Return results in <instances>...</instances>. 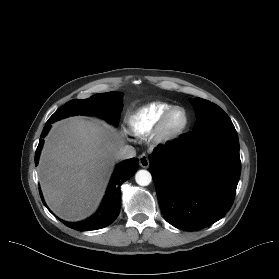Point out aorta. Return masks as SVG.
Instances as JSON below:
<instances>
[{
	"label": "aorta",
	"mask_w": 279,
	"mask_h": 279,
	"mask_svg": "<svg viewBox=\"0 0 279 279\" xmlns=\"http://www.w3.org/2000/svg\"><path fill=\"white\" fill-rule=\"evenodd\" d=\"M135 181L140 186H147L152 181V176L147 170H139L135 174Z\"/></svg>",
	"instance_id": "obj_1"
}]
</instances>
